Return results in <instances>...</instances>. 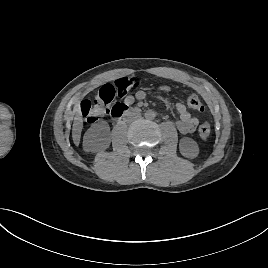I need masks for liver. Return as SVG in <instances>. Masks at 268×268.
Returning <instances> with one entry per match:
<instances>
[{"label": "liver", "instance_id": "6515ba94", "mask_svg": "<svg viewBox=\"0 0 268 268\" xmlns=\"http://www.w3.org/2000/svg\"><path fill=\"white\" fill-rule=\"evenodd\" d=\"M82 128H83V119L80 112L78 111V113L74 117V122L72 126V138L76 145H78L80 142Z\"/></svg>", "mask_w": 268, "mask_h": 268}]
</instances>
